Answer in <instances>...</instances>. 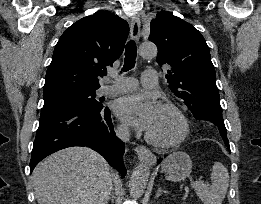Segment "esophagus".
<instances>
[{"label": "esophagus", "instance_id": "esophagus-1", "mask_svg": "<svg viewBox=\"0 0 261 204\" xmlns=\"http://www.w3.org/2000/svg\"><path fill=\"white\" fill-rule=\"evenodd\" d=\"M130 36L133 40L138 41L140 37V19L134 16L130 23ZM135 151L141 162L152 165L156 161L155 155L145 146H137Z\"/></svg>", "mask_w": 261, "mask_h": 204}]
</instances>
